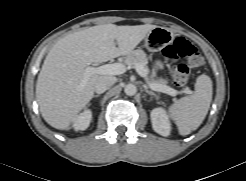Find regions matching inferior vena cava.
<instances>
[{"mask_svg": "<svg viewBox=\"0 0 246 181\" xmlns=\"http://www.w3.org/2000/svg\"><path fill=\"white\" fill-rule=\"evenodd\" d=\"M115 82H116V78L113 76H101L97 80L94 90L97 94L104 93Z\"/></svg>", "mask_w": 246, "mask_h": 181, "instance_id": "602c4592", "label": "inferior vena cava"}]
</instances>
